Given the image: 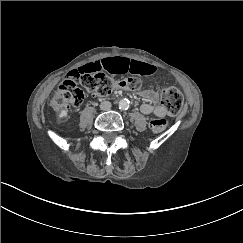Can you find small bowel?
Wrapping results in <instances>:
<instances>
[{
  "label": "small bowel",
  "mask_w": 243,
  "mask_h": 243,
  "mask_svg": "<svg viewBox=\"0 0 243 243\" xmlns=\"http://www.w3.org/2000/svg\"><path fill=\"white\" fill-rule=\"evenodd\" d=\"M78 72H101L106 71L111 74L133 73L137 75H150L156 71L155 66L142 61L132 60L125 57L106 58L101 61L87 63L77 69ZM142 96L149 102L141 106V111L156 118H163L166 110L157 104L158 95L154 91L145 90Z\"/></svg>",
  "instance_id": "small-bowel-1"
}]
</instances>
